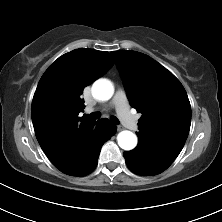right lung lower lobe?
I'll use <instances>...</instances> for the list:
<instances>
[{
	"instance_id": "right-lung-lower-lobe-1",
	"label": "right lung lower lobe",
	"mask_w": 222,
	"mask_h": 222,
	"mask_svg": "<svg viewBox=\"0 0 222 222\" xmlns=\"http://www.w3.org/2000/svg\"><path fill=\"white\" fill-rule=\"evenodd\" d=\"M116 132V126L107 119L95 122L87 133L84 152L79 161L72 167L62 169L63 173L71 176H85L94 171L102 145Z\"/></svg>"
}]
</instances>
